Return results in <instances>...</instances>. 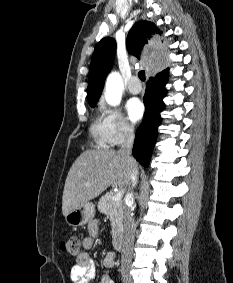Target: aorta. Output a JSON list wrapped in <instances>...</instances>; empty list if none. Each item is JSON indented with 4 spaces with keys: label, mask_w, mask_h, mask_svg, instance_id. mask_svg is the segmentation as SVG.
<instances>
[{
    "label": "aorta",
    "mask_w": 233,
    "mask_h": 283,
    "mask_svg": "<svg viewBox=\"0 0 233 283\" xmlns=\"http://www.w3.org/2000/svg\"><path fill=\"white\" fill-rule=\"evenodd\" d=\"M124 84L118 72L108 75L105 84V99L111 106H118L121 102Z\"/></svg>",
    "instance_id": "1"
}]
</instances>
